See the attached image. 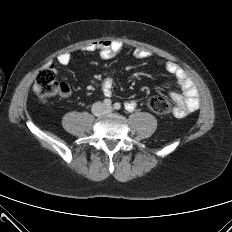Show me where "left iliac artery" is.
<instances>
[{
    "mask_svg": "<svg viewBox=\"0 0 232 232\" xmlns=\"http://www.w3.org/2000/svg\"><path fill=\"white\" fill-rule=\"evenodd\" d=\"M120 108H121L120 103L117 102L114 104V109L119 110Z\"/></svg>",
    "mask_w": 232,
    "mask_h": 232,
    "instance_id": "left-iliac-artery-1",
    "label": "left iliac artery"
}]
</instances>
